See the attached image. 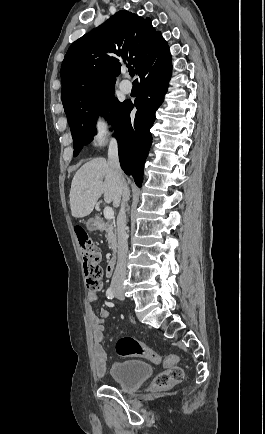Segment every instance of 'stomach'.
Returning <instances> with one entry per match:
<instances>
[{
  "instance_id": "obj_1",
  "label": "stomach",
  "mask_w": 265,
  "mask_h": 434,
  "mask_svg": "<svg viewBox=\"0 0 265 434\" xmlns=\"http://www.w3.org/2000/svg\"><path fill=\"white\" fill-rule=\"evenodd\" d=\"M91 222H92V223H91ZM91 222H88V224H87L88 229H89L91 232H95V231H97V230H98V225L94 223V220H91Z\"/></svg>"
}]
</instances>
